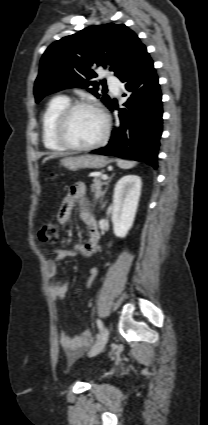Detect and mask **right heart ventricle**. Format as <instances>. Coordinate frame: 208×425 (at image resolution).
<instances>
[{"mask_svg":"<svg viewBox=\"0 0 208 425\" xmlns=\"http://www.w3.org/2000/svg\"><path fill=\"white\" fill-rule=\"evenodd\" d=\"M70 103L69 98L58 95L47 104L41 119L42 141L51 151H65L55 139V125L60 112Z\"/></svg>","mask_w":208,"mask_h":425,"instance_id":"1","label":"right heart ventricle"}]
</instances>
